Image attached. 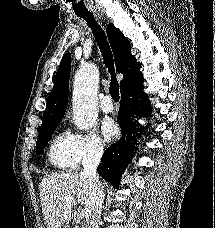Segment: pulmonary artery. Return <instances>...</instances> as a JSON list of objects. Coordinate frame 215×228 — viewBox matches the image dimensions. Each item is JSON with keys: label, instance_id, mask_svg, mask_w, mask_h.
Instances as JSON below:
<instances>
[{"label": "pulmonary artery", "instance_id": "obj_1", "mask_svg": "<svg viewBox=\"0 0 215 228\" xmlns=\"http://www.w3.org/2000/svg\"><path fill=\"white\" fill-rule=\"evenodd\" d=\"M101 109L106 113H109L114 109V103L110 95H106L102 100Z\"/></svg>", "mask_w": 215, "mask_h": 228}]
</instances>
